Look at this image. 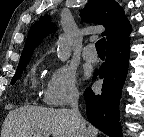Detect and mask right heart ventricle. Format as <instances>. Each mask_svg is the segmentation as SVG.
<instances>
[{
  "instance_id": "1",
  "label": "right heart ventricle",
  "mask_w": 144,
  "mask_h": 137,
  "mask_svg": "<svg viewBox=\"0 0 144 137\" xmlns=\"http://www.w3.org/2000/svg\"><path fill=\"white\" fill-rule=\"evenodd\" d=\"M30 80L33 87H36L38 84V78L35 71H32L30 74Z\"/></svg>"
}]
</instances>
